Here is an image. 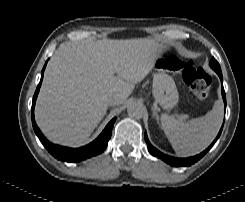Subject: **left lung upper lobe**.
Instances as JSON below:
<instances>
[{
  "instance_id": "left-lung-upper-lobe-1",
  "label": "left lung upper lobe",
  "mask_w": 245,
  "mask_h": 202,
  "mask_svg": "<svg viewBox=\"0 0 245 202\" xmlns=\"http://www.w3.org/2000/svg\"><path fill=\"white\" fill-rule=\"evenodd\" d=\"M210 66H211V68H212L217 74H218V73H222V72H221L220 65H219V63L215 60V58H211Z\"/></svg>"
}]
</instances>
